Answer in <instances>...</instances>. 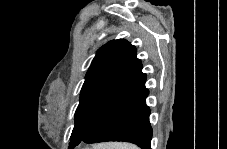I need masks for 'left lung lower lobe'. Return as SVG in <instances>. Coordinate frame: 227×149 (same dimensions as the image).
<instances>
[{
	"instance_id": "0a47b994",
	"label": "left lung lower lobe",
	"mask_w": 227,
	"mask_h": 149,
	"mask_svg": "<svg viewBox=\"0 0 227 149\" xmlns=\"http://www.w3.org/2000/svg\"><path fill=\"white\" fill-rule=\"evenodd\" d=\"M145 82L146 74L140 63L126 90L83 142L124 141L151 149L150 109L145 102L149 91Z\"/></svg>"
}]
</instances>
